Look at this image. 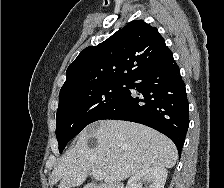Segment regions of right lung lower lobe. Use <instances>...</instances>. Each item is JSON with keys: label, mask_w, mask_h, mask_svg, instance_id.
I'll use <instances>...</instances> for the list:
<instances>
[{"label": "right lung lower lobe", "mask_w": 224, "mask_h": 188, "mask_svg": "<svg viewBox=\"0 0 224 188\" xmlns=\"http://www.w3.org/2000/svg\"><path fill=\"white\" fill-rule=\"evenodd\" d=\"M126 98L101 119L144 124L169 137L179 154L189 126V103L180 69L171 54L130 81Z\"/></svg>", "instance_id": "right-lung-lower-lobe-1"}]
</instances>
